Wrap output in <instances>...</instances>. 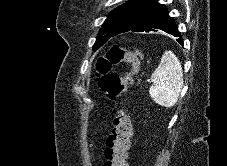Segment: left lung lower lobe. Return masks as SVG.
I'll return each instance as SVG.
<instances>
[{"label": "left lung lower lobe", "instance_id": "1", "mask_svg": "<svg viewBox=\"0 0 227 166\" xmlns=\"http://www.w3.org/2000/svg\"><path fill=\"white\" fill-rule=\"evenodd\" d=\"M156 29L163 30L175 37L181 36L175 21L168 15L167 8L159 4L158 0H147L127 31L149 32L156 31ZM177 41L183 45L181 37Z\"/></svg>", "mask_w": 227, "mask_h": 166}]
</instances>
